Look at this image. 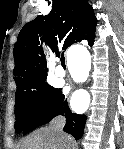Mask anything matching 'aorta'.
I'll use <instances>...</instances> for the list:
<instances>
[{
  "mask_svg": "<svg viewBox=\"0 0 124 149\" xmlns=\"http://www.w3.org/2000/svg\"><path fill=\"white\" fill-rule=\"evenodd\" d=\"M74 59L80 60L82 62L83 72L87 74L90 68V55L88 51L81 49Z\"/></svg>",
  "mask_w": 124,
  "mask_h": 149,
  "instance_id": "obj_1",
  "label": "aorta"
}]
</instances>
